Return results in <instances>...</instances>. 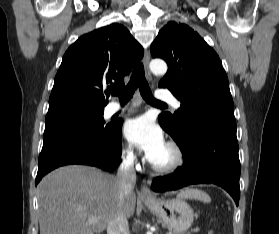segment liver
<instances>
[{"label":"liver","instance_id":"liver-1","mask_svg":"<svg viewBox=\"0 0 279 234\" xmlns=\"http://www.w3.org/2000/svg\"><path fill=\"white\" fill-rule=\"evenodd\" d=\"M40 234H95L103 232L118 214L133 215L136 195L120 200L116 178L88 166H65L45 176L38 185ZM96 223H88V217Z\"/></svg>","mask_w":279,"mask_h":234}]
</instances>
